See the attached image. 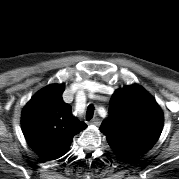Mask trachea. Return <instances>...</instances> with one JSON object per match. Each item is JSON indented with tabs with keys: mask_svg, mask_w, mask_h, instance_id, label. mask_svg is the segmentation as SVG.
<instances>
[{
	"mask_svg": "<svg viewBox=\"0 0 179 179\" xmlns=\"http://www.w3.org/2000/svg\"><path fill=\"white\" fill-rule=\"evenodd\" d=\"M93 114H94V106L90 104L87 108L86 120H90L91 118H93Z\"/></svg>",
	"mask_w": 179,
	"mask_h": 179,
	"instance_id": "obj_1",
	"label": "trachea"
}]
</instances>
